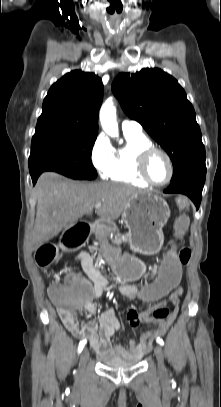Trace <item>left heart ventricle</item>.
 Masks as SVG:
<instances>
[{
  "label": "left heart ventricle",
  "mask_w": 221,
  "mask_h": 407,
  "mask_svg": "<svg viewBox=\"0 0 221 407\" xmlns=\"http://www.w3.org/2000/svg\"><path fill=\"white\" fill-rule=\"evenodd\" d=\"M169 164L162 154H154L148 164L150 177L158 183L164 182L169 176Z\"/></svg>",
  "instance_id": "1"
}]
</instances>
